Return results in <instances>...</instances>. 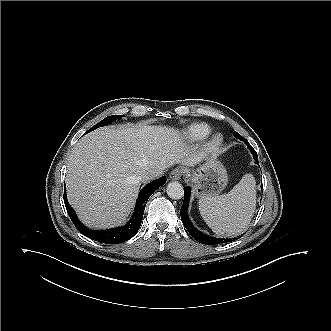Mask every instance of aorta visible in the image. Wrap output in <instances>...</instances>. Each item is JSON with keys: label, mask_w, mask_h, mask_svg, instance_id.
I'll return each instance as SVG.
<instances>
[{"label": "aorta", "mask_w": 331, "mask_h": 331, "mask_svg": "<svg viewBox=\"0 0 331 331\" xmlns=\"http://www.w3.org/2000/svg\"><path fill=\"white\" fill-rule=\"evenodd\" d=\"M166 192L171 199L175 200L181 199L184 196V188L182 184L176 181L168 183Z\"/></svg>", "instance_id": "aorta-1"}]
</instances>
